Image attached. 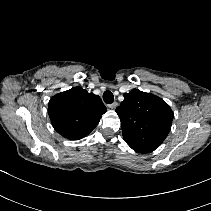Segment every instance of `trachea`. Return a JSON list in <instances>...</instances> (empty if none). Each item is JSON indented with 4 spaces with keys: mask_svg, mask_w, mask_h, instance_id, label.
<instances>
[{
    "mask_svg": "<svg viewBox=\"0 0 211 211\" xmlns=\"http://www.w3.org/2000/svg\"><path fill=\"white\" fill-rule=\"evenodd\" d=\"M103 100L107 104H111L114 101V96L111 91H105L103 93Z\"/></svg>",
    "mask_w": 211,
    "mask_h": 211,
    "instance_id": "1",
    "label": "trachea"
}]
</instances>
